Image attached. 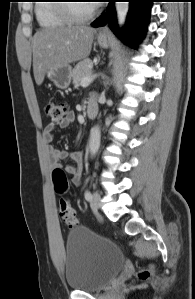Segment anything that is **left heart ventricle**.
Here are the masks:
<instances>
[{"mask_svg":"<svg viewBox=\"0 0 195 299\" xmlns=\"http://www.w3.org/2000/svg\"><path fill=\"white\" fill-rule=\"evenodd\" d=\"M92 9V4L89 2H77L73 3V10L78 14H86Z\"/></svg>","mask_w":195,"mask_h":299,"instance_id":"left-heart-ventricle-1","label":"left heart ventricle"}]
</instances>
